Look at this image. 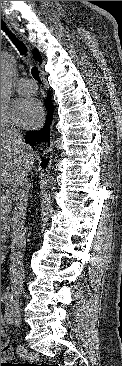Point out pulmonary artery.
Listing matches in <instances>:
<instances>
[{"instance_id":"obj_1","label":"pulmonary artery","mask_w":122,"mask_h":366,"mask_svg":"<svg viewBox=\"0 0 122 366\" xmlns=\"http://www.w3.org/2000/svg\"><path fill=\"white\" fill-rule=\"evenodd\" d=\"M15 89L21 94H33L36 92L37 86L32 80L21 78L16 82Z\"/></svg>"}]
</instances>
